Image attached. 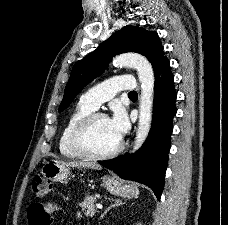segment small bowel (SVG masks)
Segmentation results:
<instances>
[{
    "instance_id": "1",
    "label": "small bowel",
    "mask_w": 228,
    "mask_h": 225,
    "mask_svg": "<svg viewBox=\"0 0 228 225\" xmlns=\"http://www.w3.org/2000/svg\"><path fill=\"white\" fill-rule=\"evenodd\" d=\"M61 208L55 203L31 204L28 207V225H51L52 218H49V213L60 211ZM40 212V213H34Z\"/></svg>"
}]
</instances>
